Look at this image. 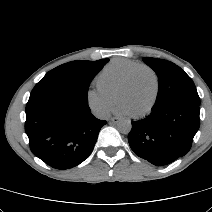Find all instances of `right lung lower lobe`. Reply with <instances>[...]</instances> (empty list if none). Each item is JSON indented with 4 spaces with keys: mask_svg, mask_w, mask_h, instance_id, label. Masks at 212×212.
<instances>
[{
    "mask_svg": "<svg viewBox=\"0 0 212 212\" xmlns=\"http://www.w3.org/2000/svg\"><path fill=\"white\" fill-rule=\"evenodd\" d=\"M106 123L92 115L87 100L68 93L35 92L26 105L25 132L32 153L60 170L79 165L91 154Z\"/></svg>",
    "mask_w": 212,
    "mask_h": 212,
    "instance_id": "98d812e1",
    "label": "right lung lower lobe"
}]
</instances>
